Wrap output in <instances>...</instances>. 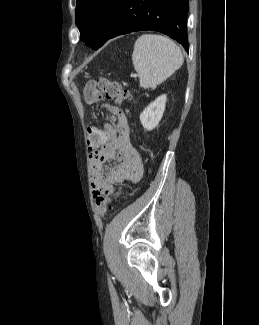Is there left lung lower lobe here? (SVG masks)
<instances>
[{"label":"left lung lower lobe","instance_id":"left-lung-lower-lobe-1","mask_svg":"<svg viewBox=\"0 0 259 325\" xmlns=\"http://www.w3.org/2000/svg\"><path fill=\"white\" fill-rule=\"evenodd\" d=\"M188 0H122L104 43L130 32L154 30L188 50Z\"/></svg>","mask_w":259,"mask_h":325}]
</instances>
